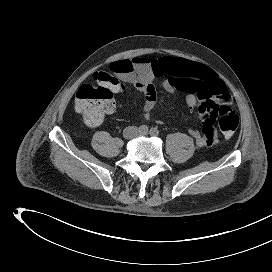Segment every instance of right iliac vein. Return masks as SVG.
I'll return each instance as SVG.
<instances>
[{
    "label": "right iliac vein",
    "mask_w": 272,
    "mask_h": 272,
    "mask_svg": "<svg viewBox=\"0 0 272 272\" xmlns=\"http://www.w3.org/2000/svg\"><path fill=\"white\" fill-rule=\"evenodd\" d=\"M135 133H136L135 129H130V130H128V132H127V136H128V137H132Z\"/></svg>",
    "instance_id": "right-iliac-vein-1"
}]
</instances>
